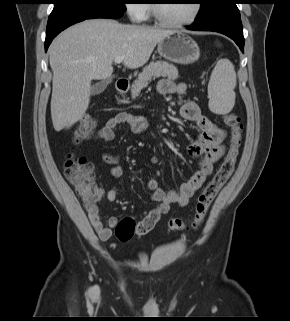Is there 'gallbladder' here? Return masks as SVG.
I'll use <instances>...</instances> for the list:
<instances>
[{
    "instance_id": "obj_1",
    "label": "gallbladder",
    "mask_w": 290,
    "mask_h": 321,
    "mask_svg": "<svg viewBox=\"0 0 290 321\" xmlns=\"http://www.w3.org/2000/svg\"><path fill=\"white\" fill-rule=\"evenodd\" d=\"M108 83H109L108 80H102L96 83L95 85H93L92 91H91L92 95H98L102 93L106 89Z\"/></svg>"
}]
</instances>
